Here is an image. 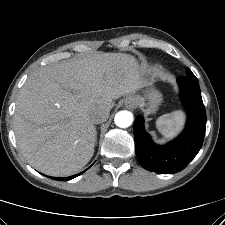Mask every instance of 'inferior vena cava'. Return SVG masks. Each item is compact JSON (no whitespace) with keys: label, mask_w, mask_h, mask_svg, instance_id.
<instances>
[{"label":"inferior vena cava","mask_w":225,"mask_h":225,"mask_svg":"<svg viewBox=\"0 0 225 225\" xmlns=\"http://www.w3.org/2000/svg\"><path fill=\"white\" fill-rule=\"evenodd\" d=\"M109 108H101L93 112L91 118L95 124L105 122L109 118Z\"/></svg>","instance_id":"inferior-vena-cava-1"}]
</instances>
